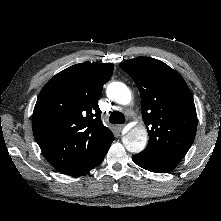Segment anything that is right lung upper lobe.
I'll use <instances>...</instances> for the list:
<instances>
[{"instance_id": "right-lung-upper-lobe-1", "label": "right lung upper lobe", "mask_w": 221, "mask_h": 221, "mask_svg": "<svg viewBox=\"0 0 221 221\" xmlns=\"http://www.w3.org/2000/svg\"><path fill=\"white\" fill-rule=\"evenodd\" d=\"M112 63H80L56 74L41 90L32 116L34 137L60 172H82L106 155L114 135L103 125L98 100Z\"/></svg>"}]
</instances>
